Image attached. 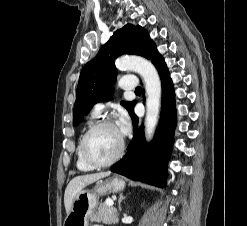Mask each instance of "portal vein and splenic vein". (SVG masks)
I'll return each mask as SVG.
<instances>
[{
	"mask_svg": "<svg viewBox=\"0 0 247 226\" xmlns=\"http://www.w3.org/2000/svg\"><path fill=\"white\" fill-rule=\"evenodd\" d=\"M106 203H107L108 205H113V201H112L111 199H108V200L106 201Z\"/></svg>",
	"mask_w": 247,
	"mask_h": 226,
	"instance_id": "obj_1",
	"label": "portal vein and splenic vein"
}]
</instances>
